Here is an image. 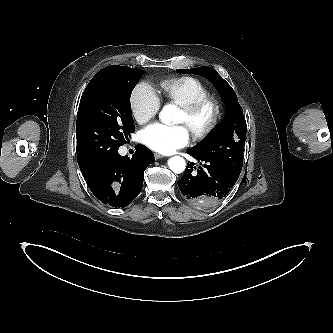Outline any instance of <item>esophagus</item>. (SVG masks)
Here are the masks:
<instances>
[{"mask_svg":"<svg viewBox=\"0 0 333 333\" xmlns=\"http://www.w3.org/2000/svg\"><path fill=\"white\" fill-rule=\"evenodd\" d=\"M154 156H155V159H157V160L161 159V158H164V156L159 154V153H155Z\"/></svg>","mask_w":333,"mask_h":333,"instance_id":"esophagus-1","label":"esophagus"}]
</instances>
